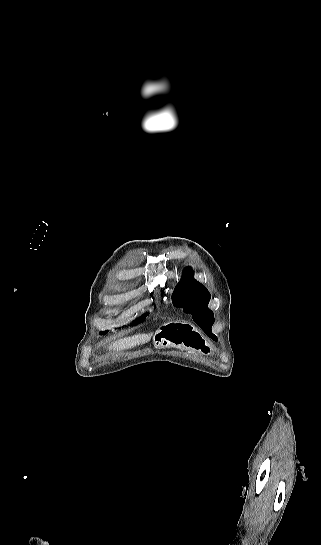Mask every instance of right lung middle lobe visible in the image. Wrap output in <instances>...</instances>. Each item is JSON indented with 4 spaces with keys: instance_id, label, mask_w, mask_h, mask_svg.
Instances as JSON below:
<instances>
[{
    "instance_id": "dd1d6c3e",
    "label": "right lung middle lobe",
    "mask_w": 321,
    "mask_h": 545,
    "mask_svg": "<svg viewBox=\"0 0 321 545\" xmlns=\"http://www.w3.org/2000/svg\"><path fill=\"white\" fill-rule=\"evenodd\" d=\"M147 314H148V313L142 315L139 319L135 320V321L133 322V325L142 322V321L145 319V317L147 316ZM105 333H106V332H105Z\"/></svg>"
}]
</instances>
